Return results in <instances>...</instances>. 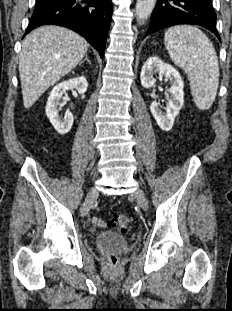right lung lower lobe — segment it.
Segmentation results:
<instances>
[{
    "instance_id": "1",
    "label": "right lung lower lobe",
    "mask_w": 232,
    "mask_h": 311,
    "mask_svg": "<svg viewBox=\"0 0 232 311\" xmlns=\"http://www.w3.org/2000/svg\"><path fill=\"white\" fill-rule=\"evenodd\" d=\"M112 18L111 0H36L26 33L56 24L82 35L103 56Z\"/></svg>"
}]
</instances>
